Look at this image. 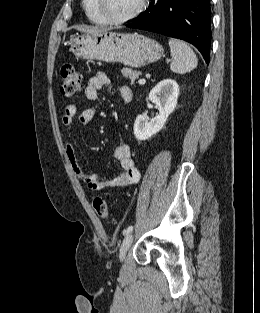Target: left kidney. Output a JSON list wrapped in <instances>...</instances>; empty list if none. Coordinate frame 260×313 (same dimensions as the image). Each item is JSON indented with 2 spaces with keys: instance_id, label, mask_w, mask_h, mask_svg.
<instances>
[{
  "instance_id": "1",
  "label": "left kidney",
  "mask_w": 260,
  "mask_h": 313,
  "mask_svg": "<svg viewBox=\"0 0 260 313\" xmlns=\"http://www.w3.org/2000/svg\"><path fill=\"white\" fill-rule=\"evenodd\" d=\"M179 95V86L173 79H164L149 93V100L156 104L159 114L148 120L138 115L134 123V135L138 140H147L158 133L175 110Z\"/></svg>"
}]
</instances>
